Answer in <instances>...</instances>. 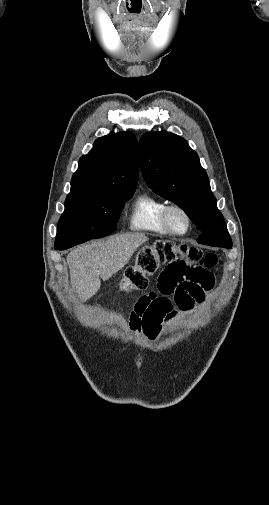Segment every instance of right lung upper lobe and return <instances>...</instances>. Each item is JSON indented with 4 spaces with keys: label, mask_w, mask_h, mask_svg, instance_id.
Returning <instances> with one entry per match:
<instances>
[{
    "label": "right lung upper lobe",
    "mask_w": 269,
    "mask_h": 505,
    "mask_svg": "<svg viewBox=\"0 0 269 505\" xmlns=\"http://www.w3.org/2000/svg\"><path fill=\"white\" fill-rule=\"evenodd\" d=\"M137 140L132 132L100 137L80 158L71 193H132L138 182Z\"/></svg>",
    "instance_id": "right-lung-upper-lobe-1"
}]
</instances>
